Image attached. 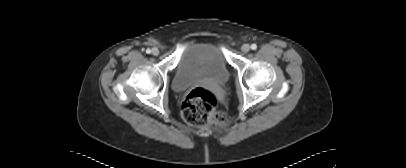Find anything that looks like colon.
I'll use <instances>...</instances> for the list:
<instances>
[{
  "label": "colon",
  "instance_id": "5ec220e1",
  "mask_svg": "<svg viewBox=\"0 0 406 168\" xmlns=\"http://www.w3.org/2000/svg\"><path fill=\"white\" fill-rule=\"evenodd\" d=\"M217 98L214 92L204 87L191 90L183 100L181 111L184 120L195 126L225 123L227 114L216 110Z\"/></svg>",
  "mask_w": 406,
  "mask_h": 168
}]
</instances>
